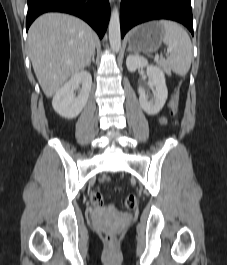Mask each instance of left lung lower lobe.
Returning <instances> with one entry per match:
<instances>
[{
  "label": "left lung lower lobe",
  "mask_w": 227,
  "mask_h": 265,
  "mask_svg": "<svg viewBox=\"0 0 227 265\" xmlns=\"http://www.w3.org/2000/svg\"><path fill=\"white\" fill-rule=\"evenodd\" d=\"M154 19H169L185 25L193 35L190 0H122L121 37L133 26Z\"/></svg>",
  "instance_id": "left-lung-lower-lobe-1"
}]
</instances>
